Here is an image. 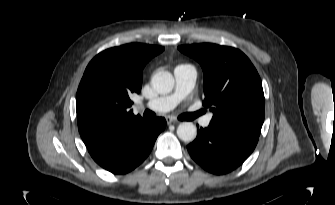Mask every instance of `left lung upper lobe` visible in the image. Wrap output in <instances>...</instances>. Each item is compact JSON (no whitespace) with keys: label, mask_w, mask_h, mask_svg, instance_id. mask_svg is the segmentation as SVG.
Listing matches in <instances>:
<instances>
[{"label":"left lung upper lobe","mask_w":335,"mask_h":205,"mask_svg":"<svg viewBox=\"0 0 335 205\" xmlns=\"http://www.w3.org/2000/svg\"><path fill=\"white\" fill-rule=\"evenodd\" d=\"M178 49L202 66L203 104L214 114L211 121L259 137L265 99L261 79L247 56L236 48L211 43Z\"/></svg>","instance_id":"obj_1"}]
</instances>
